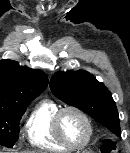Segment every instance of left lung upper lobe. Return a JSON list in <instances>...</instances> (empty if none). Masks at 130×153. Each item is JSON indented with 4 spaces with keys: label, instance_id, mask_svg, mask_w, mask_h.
<instances>
[{
    "label": "left lung upper lobe",
    "instance_id": "obj_1",
    "mask_svg": "<svg viewBox=\"0 0 130 153\" xmlns=\"http://www.w3.org/2000/svg\"><path fill=\"white\" fill-rule=\"evenodd\" d=\"M50 88L57 98L83 110L115 135L121 136L112 94L92 74L84 70L60 71L52 76Z\"/></svg>",
    "mask_w": 130,
    "mask_h": 153
}]
</instances>
